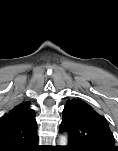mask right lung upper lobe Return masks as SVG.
Listing matches in <instances>:
<instances>
[{
    "instance_id": "right-lung-upper-lobe-1",
    "label": "right lung upper lobe",
    "mask_w": 118,
    "mask_h": 151,
    "mask_svg": "<svg viewBox=\"0 0 118 151\" xmlns=\"http://www.w3.org/2000/svg\"><path fill=\"white\" fill-rule=\"evenodd\" d=\"M38 141L34 110L15 106L0 119V151H30Z\"/></svg>"
}]
</instances>
